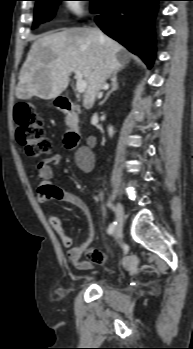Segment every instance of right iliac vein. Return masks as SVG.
Returning <instances> with one entry per match:
<instances>
[{
	"label": "right iliac vein",
	"mask_w": 193,
	"mask_h": 349,
	"mask_svg": "<svg viewBox=\"0 0 193 349\" xmlns=\"http://www.w3.org/2000/svg\"><path fill=\"white\" fill-rule=\"evenodd\" d=\"M123 219H124V207L121 202L117 203L116 206V226H115V237L118 239L122 235V227H123Z\"/></svg>",
	"instance_id": "right-iliac-vein-1"
}]
</instances>
